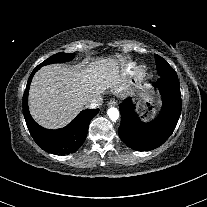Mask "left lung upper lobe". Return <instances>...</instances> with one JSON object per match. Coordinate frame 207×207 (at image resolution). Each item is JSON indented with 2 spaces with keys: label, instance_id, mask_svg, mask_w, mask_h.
I'll return each mask as SVG.
<instances>
[{
  "label": "left lung upper lobe",
  "instance_id": "5c2ea615",
  "mask_svg": "<svg viewBox=\"0 0 207 207\" xmlns=\"http://www.w3.org/2000/svg\"><path fill=\"white\" fill-rule=\"evenodd\" d=\"M155 60L159 75L175 72L162 57L155 55Z\"/></svg>",
  "mask_w": 207,
  "mask_h": 207
}]
</instances>
